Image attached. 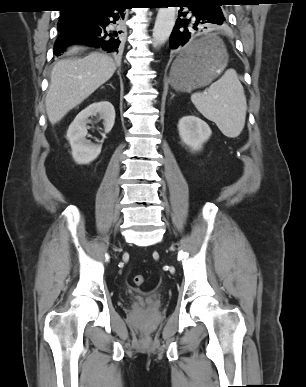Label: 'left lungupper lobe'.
Returning a JSON list of instances; mask_svg holds the SVG:
<instances>
[{
	"mask_svg": "<svg viewBox=\"0 0 306 387\" xmlns=\"http://www.w3.org/2000/svg\"><path fill=\"white\" fill-rule=\"evenodd\" d=\"M198 1H206V2H217L219 4H221L223 2V0H198Z\"/></svg>",
	"mask_w": 306,
	"mask_h": 387,
	"instance_id": "5c2ea615",
	"label": "left lung upper lobe"
}]
</instances>
